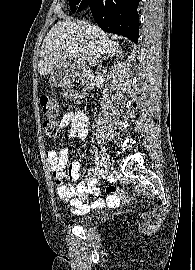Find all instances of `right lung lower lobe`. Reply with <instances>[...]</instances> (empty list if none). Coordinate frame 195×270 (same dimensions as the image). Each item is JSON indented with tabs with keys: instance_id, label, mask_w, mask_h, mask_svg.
I'll return each instance as SVG.
<instances>
[{
	"instance_id": "1",
	"label": "right lung lower lobe",
	"mask_w": 195,
	"mask_h": 270,
	"mask_svg": "<svg viewBox=\"0 0 195 270\" xmlns=\"http://www.w3.org/2000/svg\"><path fill=\"white\" fill-rule=\"evenodd\" d=\"M85 3L102 30L125 36L137 43L139 0H85Z\"/></svg>"
}]
</instances>
